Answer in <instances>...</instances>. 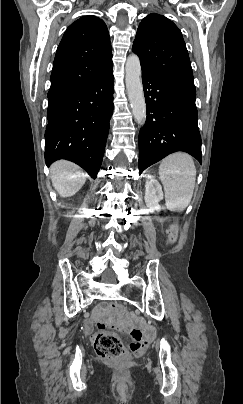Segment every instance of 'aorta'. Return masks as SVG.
Listing matches in <instances>:
<instances>
[{"label":"aorta","mask_w":243,"mask_h":404,"mask_svg":"<svg viewBox=\"0 0 243 404\" xmlns=\"http://www.w3.org/2000/svg\"><path fill=\"white\" fill-rule=\"evenodd\" d=\"M125 72L126 90L134 120L139 126H143L146 120V104L141 80V66L138 56L131 54V56L127 58Z\"/></svg>","instance_id":"762f6f07"}]
</instances>
